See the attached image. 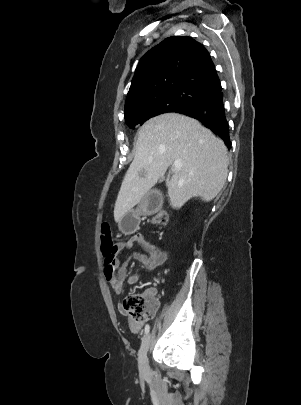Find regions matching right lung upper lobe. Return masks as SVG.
Here are the masks:
<instances>
[{
  "label": "right lung upper lobe",
  "mask_w": 301,
  "mask_h": 405,
  "mask_svg": "<svg viewBox=\"0 0 301 405\" xmlns=\"http://www.w3.org/2000/svg\"><path fill=\"white\" fill-rule=\"evenodd\" d=\"M179 87L211 95L221 89L208 51L188 36L166 38L141 58L127 94L125 113L145 97Z\"/></svg>",
  "instance_id": "cb5924a9"
}]
</instances>
